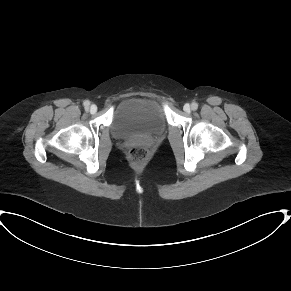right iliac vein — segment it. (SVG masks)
Here are the masks:
<instances>
[{
  "mask_svg": "<svg viewBox=\"0 0 291 291\" xmlns=\"http://www.w3.org/2000/svg\"><path fill=\"white\" fill-rule=\"evenodd\" d=\"M96 111H97V106L96 105H91L90 106V113L94 114V113H96Z\"/></svg>",
  "mask_w": 291,
  "mask_h": 291,
  "instance_id": "63e3f726",
  "label": "right iliac vein"
}]
</instances>
